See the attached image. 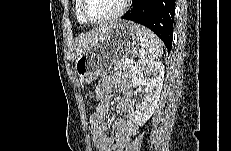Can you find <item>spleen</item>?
Wrapping results in <instances>:
<instances>
[{
	"label": "spleen",
	"instance_id": "3e777b00",
	"mask_svg": "<svg viewBox=\"0 0 231 151\" xmlns=\"http://www.w3.org/2000/svg\"><path fill=\"white\" fill-rule=\"evenodd\" d=\"M140 39L139 57L144 60L159 59L163 55L161 40L142 25L136 26Z\"/></svg>",
	"mask_w": 231,
	"mask_h": 151
}]
</instances>
